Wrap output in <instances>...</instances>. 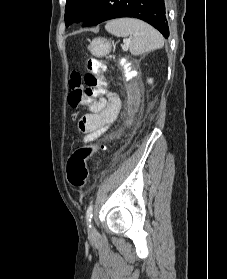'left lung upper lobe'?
<instances>
[{"instance_id":"left-lung-upper-lobe-1","label":"left lung upper lobe","mask_w":227,"mask_h":279,"mask_svg":"<svg viewBox=\"0 0 227 279\" xmlns=\"http://www.w3.org/2000/svg\"><path fill=\"white\" fill-rule=\"evenodd\" d=\"M96 0H67L65 7V24L86 19Z\"/></svg>"}]
</instances>
